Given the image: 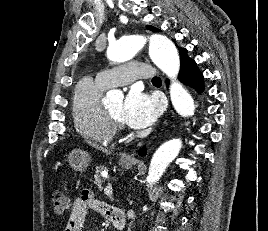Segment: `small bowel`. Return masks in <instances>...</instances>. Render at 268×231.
<instances>
[{
  "label": "small bowel",
  "instance_id": "small-bowel-1",
  "mask_svg": "<svg viewBox=\"0 0 268 231\" xmlns=\"http://www.w3.org/2000/svg\"><path fill=\"white\" fill-rule=\"evenodd\" d=\"M89 210L97 211L110 219L113 209L95 200L90 190H83L71 206L64 231H83V223Z\"/></svg>",
  "mask_w": 268,
  "mask_h": 231
}]
</instances>
